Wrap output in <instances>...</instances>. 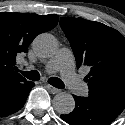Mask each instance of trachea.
Segmentation results:
<instances>
[{
	"mask_svg": "<svg viewBox=\"0 0 125 125\" xmlns=\"http://www.w3.org/2000/svg\"><path fill=\"white\" fill-rule=\"evenodd\" d=\"M21 74L33 81H38L40 79V74L38 71L34 70V71H20ZM48 83L51 84L52 86L59 88V89H63L65 87L64 83L62 82L61 79L57 78V77H51L48 79Z\"/></svg>",
	"mask_w": 125,
	"mask_h": 125,
	"instance_id": "trachea-1",
	"label": "trachea"
}]
</instances>
